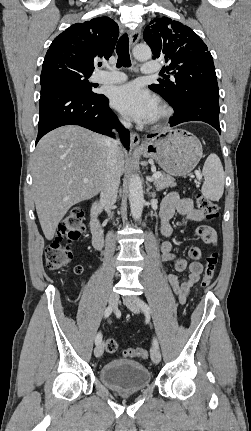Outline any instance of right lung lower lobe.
Wrapping results in <instances>:
<instances>
[{
	"label": "right lung lower lobe",
	"mask_w": 251,
	"mask_h": 431,
	"mask_svg": "<svg viewBox=\"0 0 251 431\" xmlns=\"http://www.w3.org/2000/svg\"><path fill=\"white\" fill-rule=\"evenodd\" d=\"M40 116L37 142L49 131L63 125H79L94 132L114 136L112 128L121 135L125 148H129L130 134L121 126L115 113L108 106L103 94L83 93L64 83L41 86Z\"/></svg>",
	"instance_id": "1"
}]
</instances>
